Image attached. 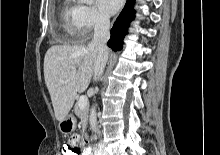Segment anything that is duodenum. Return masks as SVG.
I'll return each instance as SVG.
<instances>
[{
  "label": "duodenum",
  "mask_w": 220,
  "mask_h": 155,
  "mask_svg": "<svg viewBox=\"0 0 220 155\" xmlns=\"http://www.w3.org/2000/svg\"><path fill=\"white\" fill-rule=\"evenodd\" d=\"M85 140H88V137H87V136H85ZM86 153H87V155L90 154V149H89V148L86 149Z\"/></svg>",
  "instance_id": "duodenum-1"
}]
</instances>
